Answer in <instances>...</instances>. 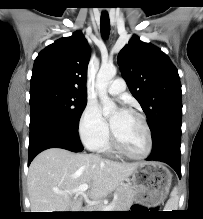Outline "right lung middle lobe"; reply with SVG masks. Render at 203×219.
<instances>
[{
    "label": "right lung middle lobe",
    "instance_id": "obj_1",
    "mask_svg": "<svg viewBox=\"0 0 203 219\" xmlns=\"http://www.w3.org/2000/svg\"><path fill=\"white\" fill-rule=\"evenodd\" d=\"M87 95L56 84H35L30 89V120L40 119L63 130L78 132Z\"/></svg>",
    "mask_w": 203,
    "mask_h": 219
}]
</instances>
